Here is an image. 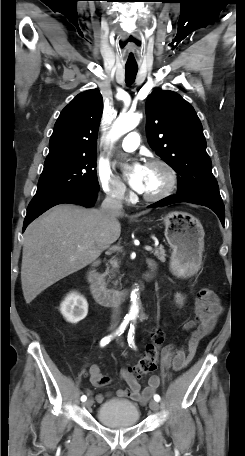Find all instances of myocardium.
I'll use <instances>...</instances> for the list:
<instances>
[{
  "label": "myocardium",
  "instance_id": "myocardium-1",
  "mask_svg": "<svg viewBox=\"0 0 245 456\" xmlns=\"http://www.w3.org/2000/svg\"><path fill=\"white\" fill-rule=\"evenodd\" d=\"M146 167L162 168L167 175V183L162 190L155 194H144L141 192V197L148 202H157L171 195L178 182L176 170L168 162L162 159H151L146 163Z\"/></svg>",
  "mask_w": 245,
  "mask_h": 456
}]
</instances>
